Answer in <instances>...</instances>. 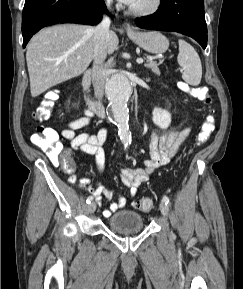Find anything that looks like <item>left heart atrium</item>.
Returning a JSON list of instances; mask_svg holds the SVG:
<instances>
[{
	"label": "left heart atrium",
	"mask_w": 243,
	"mask_h": 289,
	"mask_svg": "<svg viewBox=\"0 0 243 289\" xmlns=\"http://www.w3.org/2000/svg\"><path fill=\"white\" fill-rule=\"evenodd\" d=\"M119 1L127 5H131L134 2V0H119Z\"/></svg>",
	"instance_id": "left-heart-atrium-1"
}]
</instances>
